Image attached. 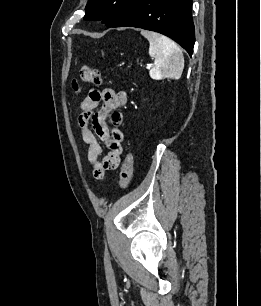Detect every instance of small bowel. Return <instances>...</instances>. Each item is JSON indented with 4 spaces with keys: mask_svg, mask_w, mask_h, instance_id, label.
Wrapping results in <instances>:
<instances>
[{
    "mask_svg": "<svg viewBox=\"0 0 261 306\" xmlns=\"http://www.w3.org/2000/svg\"><path fill=\"white\" fill-rule=\"evenodd\" d=\"M126 103V92L107 88L91 90L80 104L78 125L88 146L87 158L95 179H104L106 172L116 169L121 162L124 134L118 127L123 121L120 109ZM102 144L108 150L105 155Z\"/></svg>",
    "mask_w": 261,
    "mask_h": 306,
    "instance_id": "obj_1",
    "label": "small bowel"
}]
</instances>
